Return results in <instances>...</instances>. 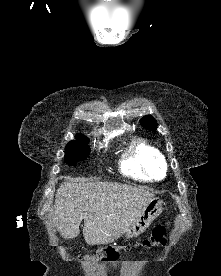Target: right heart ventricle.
Instances as JSON below:
<instances>
[{
  "mask_svg": "<svg viewBox=\"0 0 221 276\" xmlns=\"http://www.w3.org/2000/svg\"><path fill=\"white\" fill-rule=\"evenodd\" d=\"M126 176L140 180H159L165 176L167 164L162 153L142 139H136L126 149L121 162Z\"/></svg>",
  "mask_w": 221,
  "mask_h": 276,
  "instance_id": "obj_1",
  "label": "right heart ventricle"
}]
</instances>
